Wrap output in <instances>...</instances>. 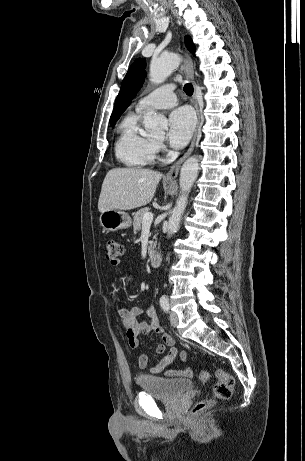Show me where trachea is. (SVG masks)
<instances>
[{"label":"trachea","mask_w":305,"mask_h":461,"mask_svg":"<svg viewBox=\"0 0 305 461\" xmlns=\"http://www.w3.org/2000/svg\"><path fill=\"white\" fill-rule=\"evenodd\" d=\"M184 92L188 95V96H191L193 94V86L191 83H187L185 84L184 86Z\"/></svg>","instance_id":"obj_1"}]
</instances>
